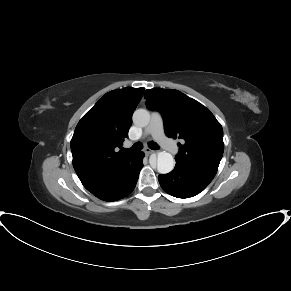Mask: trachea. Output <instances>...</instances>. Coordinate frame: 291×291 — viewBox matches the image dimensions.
<instances>
[{"mask_svg":"<svg viewBox=\"0 0 291 291\" xmlns=\"http://www.w3.org/2000/svg\"><path fill=\"white\" fill-rule=\"evenodd\" d=\"M148 146L152 150H158L159 149V145L156 142H153V141H150L148 143ZM142 148H143L142 143H135L131 148H129V149L123 148L122 150L124 152H137V151L142 150Z\"/></svg>","mask_w":291,"mask_h":291,"instance_id":"3493384b","label":"trachea"}]
</instances>
